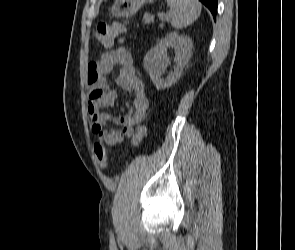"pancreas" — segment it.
<instances>
[{
  "instance_id": "pancreas-1",
  "label": "pancreas",
  "mask_w": 295,
  "mask_h": 250,
  "mask_svg": "<svg viewBox=\"0 0 295 250\" xmlns=\"http://www.w3.org/2000/svg\"><path fill=\"white\" fill-rule=\"evenodd\" d=\"M152 21H153L152 16H151L150 14H148V13H145V14H144V17H143V22H144L145 24H149V23H151Z\"/></svg>"
}]
</instances>
